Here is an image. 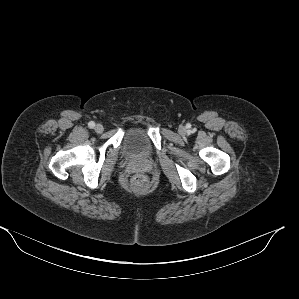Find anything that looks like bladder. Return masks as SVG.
<instances>
[{"label": "bladder", "instance_id": "31cf9c89", "mask_svg": "<svg viewBox=\"0 0 299 299\" xmlns=\"http://www.w3.org/2000/svg\"><path fill=\"white\" fill-rule=\"evenodd\" d=\"M152 152L149 136L141 129L129 131L121 144V153L127 156L148 157Z\"/></svg>", "mask_w": 299, "mask_h": 299}]
</instances>
